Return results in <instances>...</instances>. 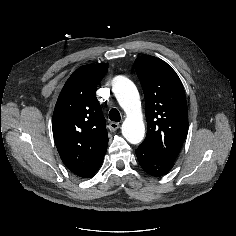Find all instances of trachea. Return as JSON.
<instances>
[{"label":"trachea","instance_id":"trachea-1","mask_svg":"<svg viewBox=\"0 0 236 236\" xmlns=\"http://www.w3.org/2000/svg\"><path fill=\"white\" fill-rule=\"evenodd\" d=\"M109 119L111 121L119 122L121 119L120 113L116 108H113L109 112Z\"/></svg>","mask_w":236,"mask_h":236}]
</instances>
